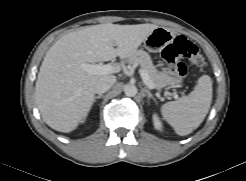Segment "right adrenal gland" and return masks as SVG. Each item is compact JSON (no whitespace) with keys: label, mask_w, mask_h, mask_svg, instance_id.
I'll return each mask as SVG.
<instances>
[{"label":"right adrenal gland","mask_w":246,"mask_h":181,"mask_svg":"<svg viewBox=\"0 0 246 181\" xmlns=\"http://www.w3.org/2000/svg\"><path fill=\"white\" fill-rule=\"evenodd\" d=\"M102 97H103L102 94H101V95H98V96H95L93 102H96L97 99H100V98H102Z\"/></svg>","instance_id":"right-adrenal-gland-1"}]
</instances>
